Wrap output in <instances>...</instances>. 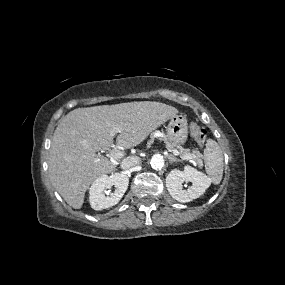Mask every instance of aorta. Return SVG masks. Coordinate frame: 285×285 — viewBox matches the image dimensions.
Returning <instances> with one entry per match:
<instances>
[{
	"instance_id": "obj_1",
	"label": "aorta",
	"mask_w": 285,
	"mask_h": 285,
	"mask_svg": "<svg viewBox=\"0 0 285 285\" xmlns=\"http://www.w3.org/2000/svg\"><path fill=\"white\" fill-rule=\"evenodd\" d=\"M150 165L155 170H161L164 167V159L161 155H153L150 160Z\"/></svg>"
}]
</instances>
